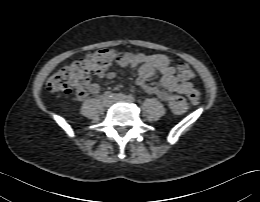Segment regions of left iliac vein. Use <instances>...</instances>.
I'll use <instances>...</instances> for the list:
<instances>
[{"instance_id":"4c4485c4","label":"left iliac vein","mask_w":260,"mask_h":202,"mask_svg":"<svg viewBox=\"0 0 260 202\" xmlns=\"http://www.w3.org/2000/svg\"><path fill=\"white\" fill-rule=\"evenodd\" d=\"M113 101L118 102V101H129L126 95L124 94H115L113 96Z\"/></svg>"}]
</instances>
